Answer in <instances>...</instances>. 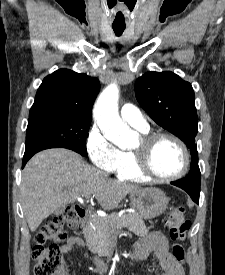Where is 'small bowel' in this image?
I'll return each mask as SVG.
<instances>
[{
    "mask_svg": "<svg viewBox=\"0 0 225 275\" xmlns=\"http://www.w3.org/2000/svg\"><path fill=\"white\" fill-rule=\"evenodd\" d=\"M83 246L82 238L71 236L62 245L61 251L64 254H69L76 247ZM133 253L138 260H145L150 254H154L162 270V275H186L178 260L170 254L167 238L162 233L151 232L144 236L134 245Z\"/></svg>",
    "mask_w": 225,
    "mask_h": 275,
    "instance_id": "c3829d8e",
    "label": "small bowel"
}]
</instances>
